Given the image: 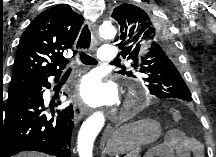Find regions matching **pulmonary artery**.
I'll list each match as a JSON object with an SVG mask.
<instances>
[{"mask_svg":"<svg viewBox=\"0 0 216 157\" xmlns=\"http://www.w3.org/2000/svg\"><path fill=\"white\" fill-rule=\"evenodd\" d=\"M118 55V51L114 45H103L97 53L99 60L109 62L114 60Z\"/></svg>","mask_w":216,"mask_h":157,"instance_id":"pulmonary-artery-1","label":"pulmonary artery"}]
</instances>
